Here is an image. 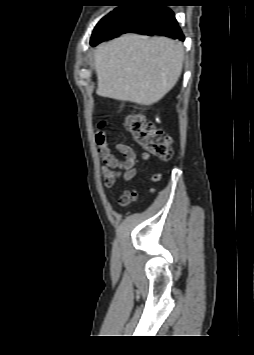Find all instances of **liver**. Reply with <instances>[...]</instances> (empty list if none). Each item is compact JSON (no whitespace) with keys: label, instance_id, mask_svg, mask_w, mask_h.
<instances>
[{"label":"liver","instance_id":"liver-1","mask_svg":"<svg viewBox=\"0 0 254 355\" xmlns=\"http://www.w3.org/2000/svg\"><path fill=\"white\" fill-rule=\"evenodd\" d=\"M183 62L180 42L125 34L95 49L96 92L101 97L153 105L177 83Z\"/></svg>","mask_w":254,"mask_h":355}]
</instances>
